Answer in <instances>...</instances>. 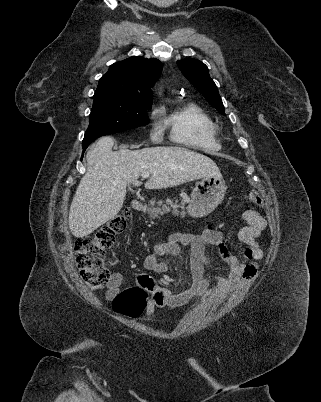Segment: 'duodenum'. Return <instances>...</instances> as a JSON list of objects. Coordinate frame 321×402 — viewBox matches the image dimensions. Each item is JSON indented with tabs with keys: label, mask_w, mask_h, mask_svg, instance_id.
Wrapping results in <instances>:
<instances>
[{
	"label": "duodenum",
	"mask_w": 321,
	"mask_h": 402,
	"mask_svg": "<svg viewBox=\"0 0 321 402\" xmlns=\"http://www.w3.org/2000/svg\"><path fill=\"white\" fill-rule=\"evenodd\" d=\"M131 206L135 211H141L144 209L145 205L143 201L135 199L132 201Z\"/></svg>",
	"instance_id": "1"
}]
</instances>
